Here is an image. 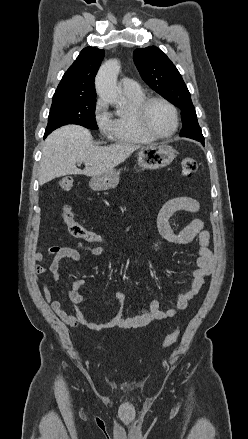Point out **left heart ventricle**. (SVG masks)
I'll return each instance as SVG.
<instances>
[{
  "label": "left heart ventricle",
  "mask_w": 248,
  "mask_h": 439,
  "mask_svg": "<svg viewBox=\"0 0 248 439\" xmlns=\"http://www.w3.org/2000/svg\"><path fill=\"white\" fill-rule=\"evenodd\" d=\"M147 122L158 134L169 133L174 126L171 110L161 102H153L147 110Z\"/></svg>",
  "instance_id": "1"
}]
</instances>
